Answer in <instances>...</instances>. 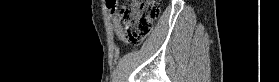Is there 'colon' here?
Wrapping results in <instances>:
<instances>
[{
  "label": "colon",
  "instance_id": "obj_1",
  "mask_svg": "<svg viewBox=\"0 0 279 82\" xmlns=\"http://www.w3.org/2000/svg\"><path fill=\"white\" fill-rule=\"evenodd\" d=\"M117 11V18L125 30V41L139 45L152 32L154 21L160 16L155 0H124Z\"/></svg>",
  "mask_w": 279,
  "mask_h": 82
}]
</instances>
